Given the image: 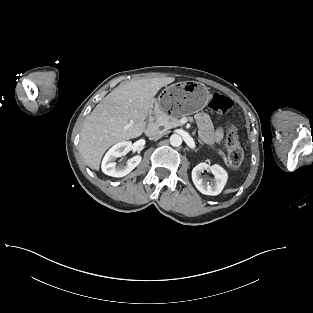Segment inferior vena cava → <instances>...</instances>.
<instances>
[{
  "mask_svg": "<svg viewBox=\"0 0 313 313\" xmlns=\"http://www.w3.org/2000/svg\"><path fill=\"white\" fill-rule=\"evenodd\" d=\"M165 134V131L160 130H148L147 135L150 137V139H158L162 137Z\"/></svg>",
  "mask_w": 313,
  "mask_h": 313,
  "instance_id": "602c4592",
  "label": "inferior vena cava"
}]
</instances>
